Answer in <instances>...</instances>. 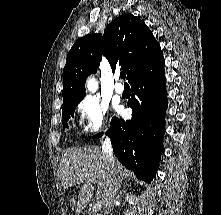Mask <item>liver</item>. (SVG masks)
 <instances>
[{"label": "liver", "mask_w": 221, "mask_h": 215, "mask_svg": "<svg viewBox=\"0 0 221 215\" xmlns=\"http://www.w3.org/2000/svg\"><path fill=\"white\" fill-rule=\"evenodd\" d=\"M114 173L122 180L125 172L120 162L114 160ZM111 164L103 152L96 146H84L67 150L60 161V178L64 190H71L76 184L82 183L77 197V212H81L93 197V183L97 184L98 194L104 197L108 181L111 177Z\"/></svg>", "instance_id": "obj_1"}]
</instances>
